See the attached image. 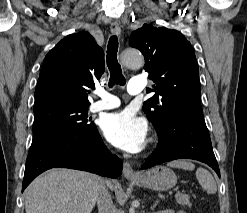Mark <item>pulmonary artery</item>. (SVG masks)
Listing matches in <instances>:
<instances>
[{
	"mask_svg": "<svg viewBox=\"0 0 247 213\" xmlns=\"http://www.w3.org/2000/svg\"><path fill=\"white\" fill-rule=\"evenodd\" d=\"M144 81V77L131 78L127 88L128 93L130 95L141 93L144 90ZM96 94L100 99L90 105V110L92 112L114 109L120 105L119 98L108 92L97 90Z\"/></svg>",
	"mask_w": 247,
	"mask_h": 213,
	"instance_id": "1",
	"label": "pulmonary artery"
}]
</instances>
